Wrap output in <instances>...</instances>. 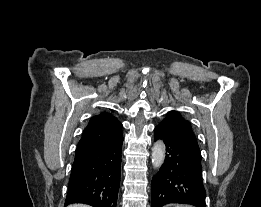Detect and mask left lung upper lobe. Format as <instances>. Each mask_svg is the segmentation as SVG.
Returning <instances> with one entry per match:
<instances>
[{"instance_id":"5c2ea615","label":"left lung upper lobe","mask_w":261,"mask_h":207,"mask_svg":"<svg viewBox=\"0 0 261 207\" xmlns=\"http://www.w3.org/2000/svg\"><path fill=\"white\" fill-rule=\"evenodd\" d=\"M170 123L179 133L181 138L190 146V148L199 156H201L199 145L195 133L193 132L191 123L183 118L177 111L168 112L162 120Z\"/></svg>"}]
</instances>
